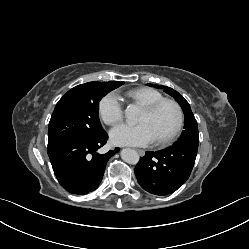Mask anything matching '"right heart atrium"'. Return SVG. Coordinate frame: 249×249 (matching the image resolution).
Wrapping results in <instances>:
<instances>
[{"label":"right heart atrium","mask_w":249,"mask_h":249,"mask_svg":"<svg viewBox=\"0 0 249 249\" xmlns=\"http://www.w3.org/2000/svg\"><path fill=\"white\" fill-rule=\"evenodd\" d=\"M98 112L101 120L107 125H116L123 118V106L115 93H108L99 102Z\"/></svg>","instance_id":"1"}]
</instances>
